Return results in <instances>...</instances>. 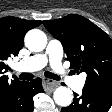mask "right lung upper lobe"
<instances>
[{
	"mask_svg": "<svg viewBox=\"0 0 112 112\" xmlns=\"http://www.w3.org/2000/svg\"><path fill=\"white\" fill-rule=\"evenodd\" d=\"M41 24V21H31L17 17L0 19V109L5 105L13 89L21 83L18 79L8 81L5 73L9 67L6 60L18 55L24 45V36L32 28Z\"/></svg>",
	"mask_w": 112,
	"mask_h": 112,
	"instance_id": "1",
	"label": "right lung upper lobe"
}]
</instances>
